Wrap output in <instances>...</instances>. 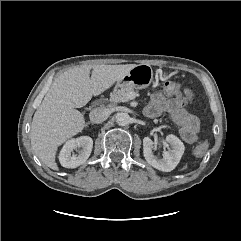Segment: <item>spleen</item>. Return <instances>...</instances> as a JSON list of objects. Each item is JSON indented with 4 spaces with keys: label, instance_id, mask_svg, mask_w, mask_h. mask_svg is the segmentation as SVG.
<instances>
[{
    "label": "spleen",
    "instance_id": "obj_1",
    "mask_svg": "<svg viewBox=\"0 0 241 241\" xmlns=\"http://www.w3.org/2000/svg\"><path fill=\"white\" fill-rule=\"evenodd\" d=\"M187 165H184L183 168L181 170H186L187 169Z\"/></svg>",
    "mask_w": 241,
    "mask_h": 241
}]
</instances>
